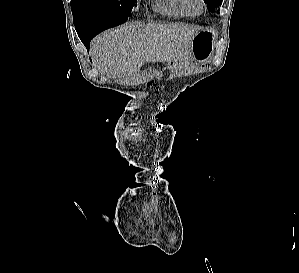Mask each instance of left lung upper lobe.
I'll use <instances>...</instances> for the list:
<instances>
[{"label": "left lung upper lobe", "instance_id": "obj_1", "mask_svg": "<svg viewBox=\"0 0 299 273\" xmlns=\"http://www.w3.org/2000/svg\"><path fill=\"white\" fill-rule=\"evenodd\" d=\"M207 4V8L211 12H215V9L221 4L222 0H204Z\"/></svg>", "mask_w": 299, "mask_h": 273}]
</instances>
